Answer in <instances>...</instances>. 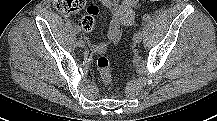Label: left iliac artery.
<instances>
[{
	"label": "left iliac artery",
	"mask_w": 217,
	"mask_h": 121,
	"mask_svg": "<svg viewBox=\"0 0 217 121\" xmlns=\"http://www.w3.org/2000/svg\"><path fill=\"white\" fill-rule=\"evenodd\" d=\"M150 19H151V17H150L149 14H145V15L143 16V21H144V22H148Z\"/></svg>",
	"instance_id": "left-iliac-artery-1"
}]
</instances>
